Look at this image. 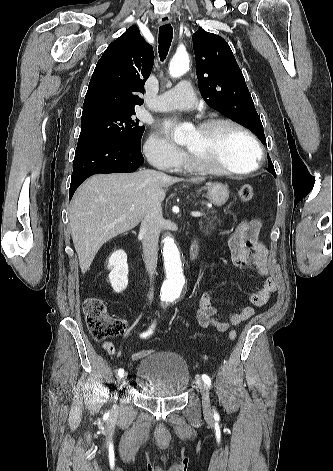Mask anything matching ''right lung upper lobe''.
Here are the masks:
<instances>
[{
    "mask_svg": "<svg viewBox=\"0 0 333 471\" xmlns=\"http://www.w3.org/2000/svg\"><path fill=\"white\" fill-rule=\"evenodd\" d=\"M154 63V52L131 26L113 41L98 61L83 104L82 118L92 115L134 109L143 104L138 96Z\"/></svg>",
    "mask_w": 333,
    "mask_h": 471,
    "instance_id": "obj_1",
    "label": "right lung upper lobe"
}]
</instances>
